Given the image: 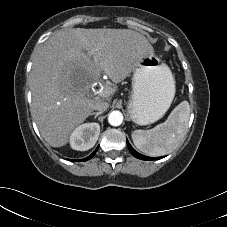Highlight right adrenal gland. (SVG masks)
Listing matches in <instances>:
<instances>
[{
    "label": "right adrenal gland",
    "mask_w": 227,
    "mask_h": 227,
    "mask_svg": "<svg viewBox=\"0 0 227 227\" xmlns=\"http://www.w3.org/2000/svg\"><path fill=\"white\" fill-rule=\"evenodd\" d=\"M101 113H103V112H101V111L94 112V113H91V116L94 115V118L96 119Z\"/></svg>",
    "instance_id": "1"
}]
</instances>
